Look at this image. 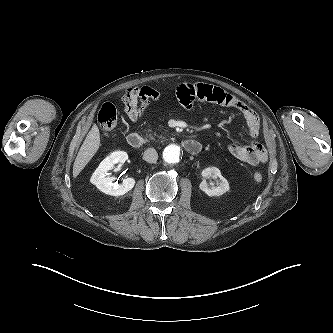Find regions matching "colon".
<instances>
[{
  "label": "colon",
  "mask_w": 333,
  "mask_h": 333,
  "mask_svg": "<svg viewBox=\"0 0 333 333\" xmlns=\"http://www.w3.org/2000/svg\"><path fill=\"white\" fill-rule=\"evenodd\" d=\"M97 122L105 134H112L117 126V111L115 106L111 103L103 104L97 114ZM253 180L259 183L263 180V175L256 172L253 174Z\"/></svg>",
  "instance_id": "obj_1"
}]
</instances>
